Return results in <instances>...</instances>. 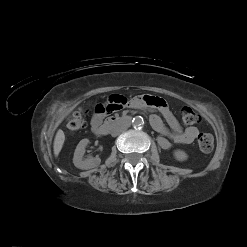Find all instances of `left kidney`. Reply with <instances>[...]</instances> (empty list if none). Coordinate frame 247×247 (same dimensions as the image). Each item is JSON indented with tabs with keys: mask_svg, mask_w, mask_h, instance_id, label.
Segmentation results:
<instances>
[{
	"mask_svg": "<svg viewBox=\"0 0 247 247\" xmlns=\"http://www.w3.org/2000/svg\"><path fill=\"white\" fill-rule=\"evenodd\" d=\"M173 155H174V158L177 161H180V162L186 161L188 159V155L183 150H179V149L178 150H175L174 153H173Z\"/></svg>",
	"mask_w": 247,
	"mask_h": 247,
	"instance_id": "1",
	"label": "left kidney"
}]
</instances>
